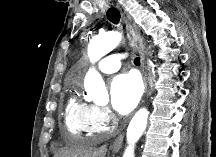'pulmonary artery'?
Returning <instances> with one entry per match:
<instances>
[{
  "mask_svg": "<svg viewBox=\"0 0 216 157\" xmlns=\"http://www.w3.org/2000/svg\"><path fill=\"white\" fill-rule=\"evenodd\" d=\"M124 57L125 55L120 53L108 55L98 63L97 68L103 73H114L120 69Z\"/></svg>",
  "mask_w": 216,
  "mask_h": 157,
  "instance_id": "1",
  "label": "pulmonary artery"
}]
</instances>
